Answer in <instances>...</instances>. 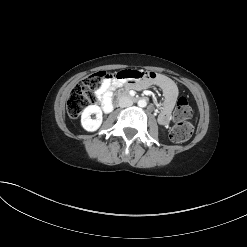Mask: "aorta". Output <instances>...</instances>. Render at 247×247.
<instances>
[{
	"instance_id": "762f6f07",
	"label": "aorta",
	"mask_w": 247,
	"mask_h": 247,
	"mask_svg": "<svg viewBox=\"0 0 247 247\" xmlns=\"http://www.w3.org/2000/svg\"><path fill=\"white\" fill-rule=\"evenodd\" d=\"M146 105H147V102H146L145 99H141V100L138 101V106L139 107H146Z\"/></svg>"
}]
</instances>
